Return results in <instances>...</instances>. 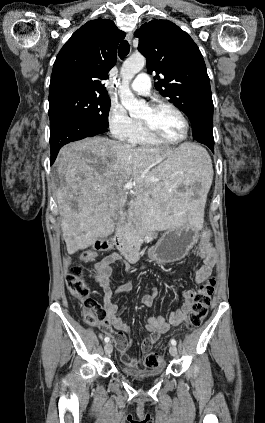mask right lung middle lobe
<instances>
[{
	"instance_id": "obj_1",
	"label": "right lung middle lobe",
	"mask_w": 265,
	"mask_h": 423,
	"mask_svg": "<svg viewBox=\"0 0 265 423\" xmlns=\"http://www.w3.org/2000/svg\"><path fill=\"white\" fill-rule=\"evenodd\" d=\"M110 99L82 92H66L49 97V119L59 115H74L108 128Z\"/></svg>"
}]
</instances>
